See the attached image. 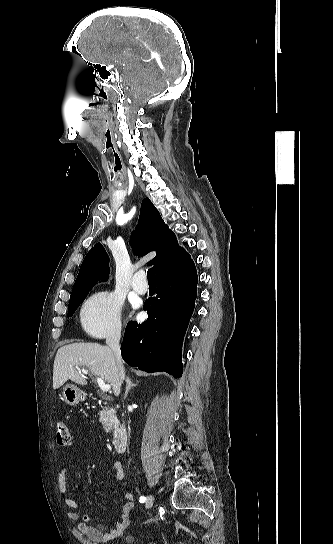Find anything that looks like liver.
I'll use <instances>...</instances> for the list:
<instances>
[{
	"label": "liver",
	"mask_w": 333,
	"mask_h": 544,
	"mask_svg": "<svg viewBox=\"0 0 333 544\" xmlns=\"http://www.w3.org/2000/svg\"><path fill=\"white\" fill-rule=\"evenodd\" d=\"M76 366L88 367L92 374L112 385L113 393L119 396L121 383L115 356L108 346L98 343H72L60 347L53 367V389L61 387L67 380L86 385L87 381Z\"/></svg>",
	"instance_id": "obj_1"
}]
</instances>
